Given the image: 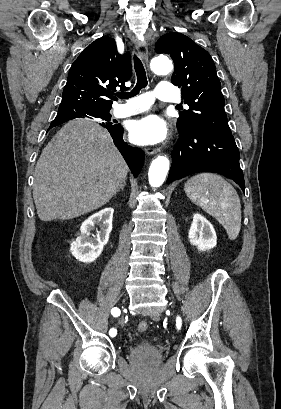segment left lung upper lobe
Here are the masks:
<instances>
[{"label": "left lung upper lobe", "mask_w": 281, "mask_h": 409, "mask_svg": "<svg viewBox=\"0 0 281 409\" xmlns=\"http://www.w3.org/2000/svg\"><path fill=\"white\" fill-rule=\"evenodd\" d=\"M155 49L157 53L169 54L173 59L175 70L171 81L182 88L184 103L189 106V110L179 113L178 131L203 126L231 134L221 84L209 53L177 32L163 35Z\"/></svg>", "instance_id": "1"}]
</instances>
